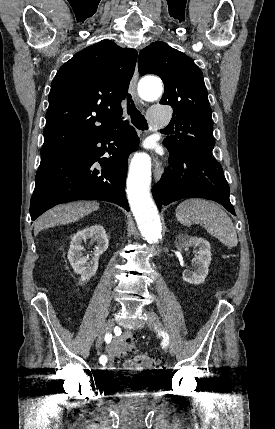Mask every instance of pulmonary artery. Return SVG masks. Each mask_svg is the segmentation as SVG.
I'll use <instances>...</instances> for the list:
<instances>
[{
	"label": "pulmonary artery",
	"mask_w": 275,
	"mask_h": 429,
	"mask_svg": "<svg viewBox=\"0 0 275 429\" xmlns=\"http://www.w3.org/2000/svg\"><path fill=\"white\" fill-rule=\"evenodd\" d=\"M148 119L153 127H163L169 122L168 113L161 107H153L148 112Z\"/></svg>",
	"instance_id": "e3ab8cb5"
}]
</instances>
